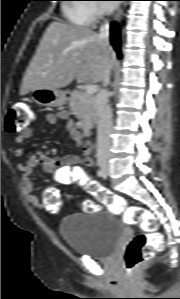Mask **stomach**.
Listing matches in <instances>:
<instances>
[{
    "label": "stomach",
    "mask_w": 180,
    "mask_h": 299,
    "mask_svg": "<svg viewBox=\"0 0 180 299\" xmlns=\"http://www.w3.org/2000/svg\"><path fill=\"white\" fill-rule=\"evenodd\" d=\"M32 99L40 106L57 107L67 102V94L60 89L40 88L32 91Z\"/></svg>",
    "instance_id": "stomach-1"
}]
</instances>
